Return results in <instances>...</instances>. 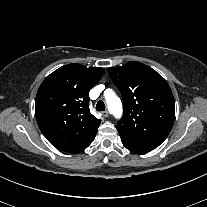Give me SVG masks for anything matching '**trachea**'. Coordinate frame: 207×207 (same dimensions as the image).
<instances>
[{"label": "trachea", "mask_w": 207, "mask_h": 207, "mask_svg": "<svg viewBox=\"0 0 207 207\" xmlns=\"http://www.w3.org/2000/svg\"><path fill=\"white\" fill-rule=\"evenodd\" d=\"M96 110L97 111H104L105 110V104L103 101H98L96 104Z\"/></svg>", "instance_id": "3493384b"}]
</instances>
